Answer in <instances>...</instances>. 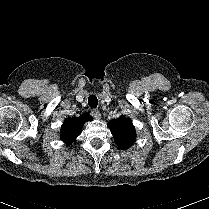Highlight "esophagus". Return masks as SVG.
<instances>
[{
	"label": "esophagus",
	"mask_w": 209,
	"mask_h": 209,
	"mask_svg": "<svg viewBox=\"0 0 209 209\" xmlns=\"http://www.w3.org/2000/svg\"><path fill=\"white\" fill-rule=\"evenodd\" d=\"M92 115L96 118V119H100L101 118V114H100V111L97 110V109H93L91 111Z\"/></svg>",
	"instance_id": "obj_1"
}]
</instances>
